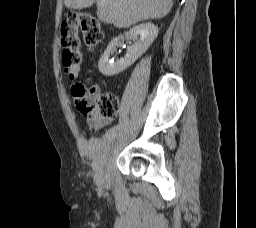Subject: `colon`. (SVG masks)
<instances>
[{
    "instance_id": "colon-1",
    "label": "colon",
    "mask_w": 256,
    "mask_h": 228,
    "mask_svg": "<svg viewBox=\"0 0 256 228\" xmlns=\"http://www.w3.org/2000/svg\"><path fill=\"white\" fill-rule=\"evenodd\" d=\"M80 32L89 49H94L103 40L100 21L88 12H70L61 25L62 63L69 78L77 76L82 63ZM77 109L87 118H114L118 112V98L114 93L99 94L94 88L75 83L71 89Z\"/></svg>"
}]
</instances>
